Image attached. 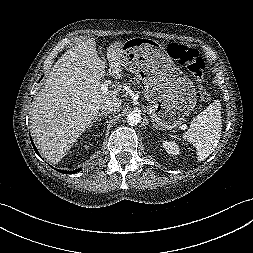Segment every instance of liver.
Masks as SVG:
<instances>
[{
  "instance_id": "obj_1",
  "label": "liver",
  "mask_w": 253,
  "mask_h": 253,
  "mask_svg": "<svg viewBox=\"0 0 253 253\" xmlns=\"http://www.w3.org/2000/svg\"><path fill=\"white\" fill-rule=\"evenodd\" d=\"M120 41L107 48L115 79L124 67ZM105 64L94 39L78 43L54 64L38 92L31 113V134L45 158L57 164L92 124L103 102L117 98L121 87L103 93Z\"/></svg>"
}]
</instances>
